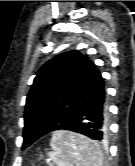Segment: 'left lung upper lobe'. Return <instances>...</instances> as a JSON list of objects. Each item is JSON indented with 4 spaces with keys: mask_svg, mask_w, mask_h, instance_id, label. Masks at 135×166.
Wrapping results in <instances>:
<instances>
[{
    "mask_svg": "<svg viewBox=\"0 0 135 166\" xmlns=\"http://www.w3.org/2000/svg\"><path fill=\"white\" fill-rule=\"evenodd\" d=\"M88 62L86 56L75 50L45 63L27 95L24 121L46 123L61 111Z\"/></svg>",
    "mask_w": 135,
    "mask_h": 166,
    "instance_id": "obj_1",
    "label": "left lung upper lobe"
}]
</instances>
